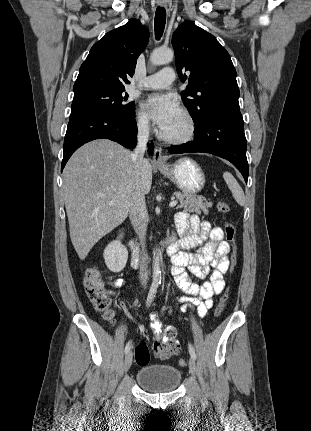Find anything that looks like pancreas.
Masks as SVG:
<instances>
[{"label": "pancreas", "instance_id": "pancreas-1", "mask_svg": "<svg viewBox=\"0 0 311 431\" xmlns=\"http://www.w3.org/2000/svg\"><path fill=\"white\" fill-rule=\"evenodd\" d=\"M173 196L178 198L180 204L178 208H183L184 212H195V214H209L208 208H212V202H207L203 196H189L183 192H174Z\"/></svg>", "mask_w": 311, "mask_h": 431}]
</instances>
